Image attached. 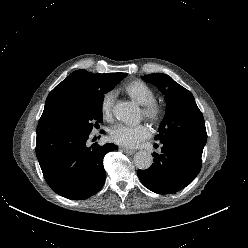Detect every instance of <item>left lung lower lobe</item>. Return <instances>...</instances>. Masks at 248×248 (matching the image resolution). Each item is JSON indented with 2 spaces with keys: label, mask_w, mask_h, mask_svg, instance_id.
I'll return each instance as SVG.
<instances>
[{
  "label": "left lung lower lobe",
  "mask_w": 248,
  "mask_h": 248,
  "mask_svg": "<svg viewBox=\"0 0 248 248\" xmlns=\"http://www.w3.org/2000/svg\"><path fill=\"white\" fill-rule=\"evenodd\" d=\"M161 154L154 153L149 169L138 170L142 184L158 194H170L188 186L201 169L202 153L174 141L162 143Z\"/></svg>",
  "instance_id": "0a47b994"
}]
</instances>
